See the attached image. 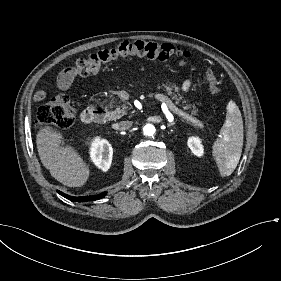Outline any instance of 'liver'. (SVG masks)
Instances as JSON below:
<instances>
[{
    "instance_id": "liver-1",
    "label": "liver",
    "mask_w": 281,
    "mask_h": 281,
    "mask_svg": "<svg viewBox=\"0 0 281 281\" xmlns=\"http://www.w3.org/2000/svg\"><path fill=\"white\" fill-rule=\"evenodd\" d=\"M64 133L45 123L37 130L36 147L42 165L62 185L81 188L88 182L91 169L79 151L64 144Z\"/></svg>"
}]
</instances>
